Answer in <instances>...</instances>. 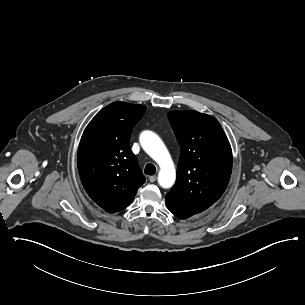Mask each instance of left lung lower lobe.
Instances as JSON below:
<instances>
[{
  "instance_id": "obj_1",
  "label": "left lung lower lobe",
  "mask_w": 305,
  "mask_h": 305,
  "mask_svg": "<svg viewBox=\"0 0 305 305\" xmlns=\"http://www.w3.org/2000/svg\"><path fill=\"white\" fill-rule=\"evenodd\" d=\"M168 209L178 218L180 219H186L188 217L193 216L196 213L184 210L174 204L166 202Z\"/></svg>"
}]
</instances>
